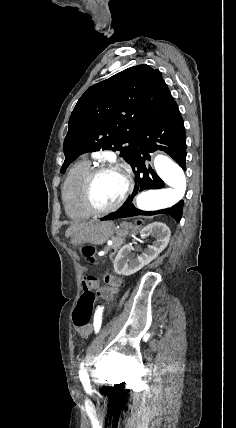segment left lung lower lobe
Wrapping results in <instances>:
<instances>
[{
    "label": "left lung lower lobe",
    "mask_w": 236,
    "mask_h": 428,
    "mask_svg": "<svg viewBox=\"0 0 236 428\" xmlns=\"http://www.w3.org/2000/svg\"><path fill=\"white\" fill-rule=\"evenodd\" d=\"M139 148L136 153L135 162L132 167L135 171V187L128 201L116 212L111 213L101 220H112L118 218L132 217L137 215L167 214L177 222L182 216L184 201H179L171 208L158 211H142L134 207L132 200L134 196L146 189H160L164 187L161 178L145 163L150 160V152L162 150L170 155L183 170H186V135L183 119L178 106L173 101L169 107L158 117L149 121L142 129L137 142Z\"/></svg>",
    "instance_id": "left-lung-lower-lobe-1"
}]
</instances>
